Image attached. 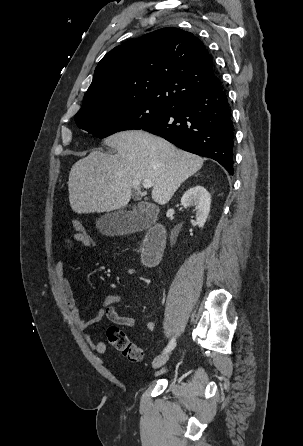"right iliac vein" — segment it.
<instances>
[{
    "label": "right iliac vein",
    "instance_id": "1",
    "mask_svg": "<svg viewBox=\"0 0 303 446\" xmlns=\"http://www.w3.org/2000/svg\"><path fill=\"white\" fill-rule=\"evenodd\" d=\"M168 359H169V354H167V353L159 355L153 360L152 367L155 369L159 368V367L163 366L168 361Z\"/></svg>",
    "mask_w": 303,
    "mask_h": 446
}]
</instances>
